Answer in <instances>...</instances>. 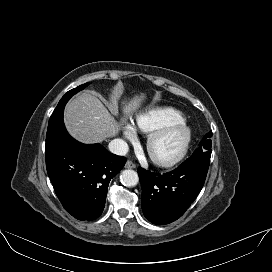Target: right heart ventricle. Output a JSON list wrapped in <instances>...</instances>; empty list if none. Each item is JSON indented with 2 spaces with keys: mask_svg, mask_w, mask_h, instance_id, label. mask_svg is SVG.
I'll return each mask as SVG.
<instances>
[{
  "mask_svg": "<svg viewBox=\"0 0 272 272\" xmlns=\"http://www.w3.org/2000/svg\"><path fill=\"white\" fill-rule=\"evenodd\" d=\"M184 115L171 107L152 108L140 114L135 122L136 128L151 133L171 123L184 121Z\"/></svg>",
  "mask_w": 272,
  "mask_h": 272,
  "instance_id": "right-heart-ventricle-1",
  "label": "right heart ventricle"
}]
</instances>
